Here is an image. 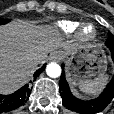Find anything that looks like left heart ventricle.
<instances>
[{"mask_svg": "<svg viewBox=\"0 0 114 114\" xmlns=\"http://www.w3.org/2000/svg\"><path fill=\"white\" fill-rule=\"evenodd\" d=\"M86 32H90V29H87Z\"/></svg>", "mask_w": 114, "mask_h": 114, "instance_id": "obj_1", "label": "left heart ventricle"}]
</instances>
